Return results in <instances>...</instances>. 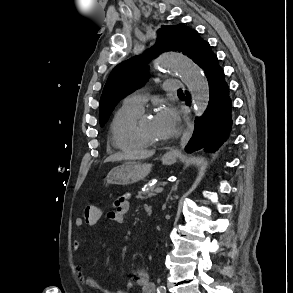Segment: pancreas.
I'll use <instances>...</instances> for the list:
<instances>
[{"label":"pancreas","instance_id":"obj_1","mask_svg":"<svg viewBox=\"0 0 293 293\" xmlns=\"http://www.w3.org/2000/svg\"><path fill=\"white\" fill-rule=\"evenodd\" d=\"M160 184H158V185H160ZM156 188H157L156 186H152V187L147 188L145 191L138 192L137 198L148 199V198L155 196L156 195V193H155Z\"/></svg>","mask_w":293,"mask_h":293}]
</instances>
